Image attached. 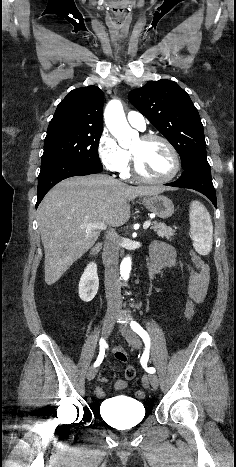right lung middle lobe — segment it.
<instances>
[{"label":"right lung middle lobe","instance_id":"obj_1","mask_svg":"<svg viewBox=\"0 0 236 467\" xmlns=\"http://www.w3.org/2000/svg\"><path fill=\"white\" fill-rule=\"evenodd\" d=\"M102 129L55 126L47 129L41 165L57 159H75L103 168L98 156Z\"/></svg>","mask_w":236,"mask_h":467}]
</instances>
